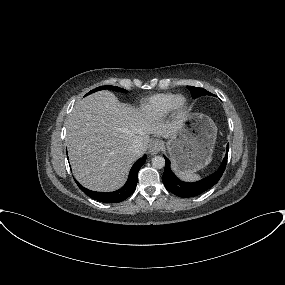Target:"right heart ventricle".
<instances>
[{
  "mask_svg": "<svg viewBox=\"0 0 285 285\" xmlns=\"http://www.w3.org/2000/svg\"><path fill=\"white\" fill-rule=\"evenodd\" d=\"M176 97L177 95L172 93L154 95L144 102V111L153 119L163 118L171 112L172 104Z\"/></svg>",
  "mask_w": 285,
  "mask_h": 285,
  "instance_id": "right-heart-ventricle-1",
  "label": "right heart ventricle"
}]
</instances>
